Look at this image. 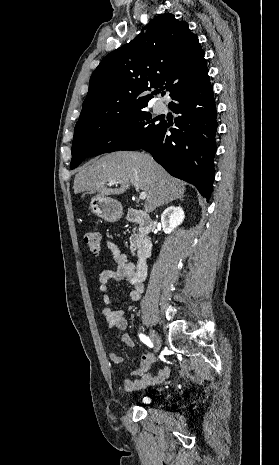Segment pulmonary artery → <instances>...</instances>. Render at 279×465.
<instances>
[{"label": "pulmonary artery", "mask_w": 279, "mask_h": 465, "mask_svg": "<svg viewBox=\"0 0 279 465\" xmlns=\"http://www.w3.org/2000/svg\"><path fill=\"white\" fill-rule=\"evenodd\" d=\"M155 109L158 112H164L166 110V104L163 101H158L155 104Z\"/></svg>", "instance_id": "obj_1"}]
</instances>
